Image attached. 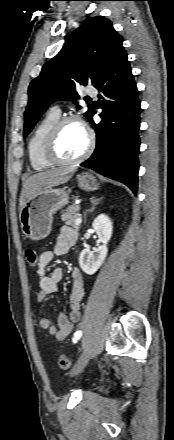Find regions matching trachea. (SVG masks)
Segmentation results:
<instances>
[{
    "label": "trachea",
    "instance_id": "trachea-1",
    "mask_svg": "<svg viewBox=\"0 0 174 440\" xmlns=\"http://www.w3.org/2000/svg\"><path fill=\"white\" fill-rule=\"evenodd\" d=\"M86 100H90V97H86Z\"/></svg>",
    "mask_w": 174,
    "mask_h": 440
}]
</instances>
